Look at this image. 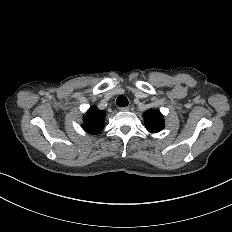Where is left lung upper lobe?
I'll use <instances>...</instances> for the list:
<instances>
[{
  "mask_svg": "<svg viewBox=\"0 0 232 232\" xmlns=\"http://www.w3.org/2000/svg\"><path fill=\"white\" fill-rule=\"evenodd\" d=\"M144 119L147 130L152 133H157L164 128V118L159 110L146 111Z\"/></svg>",
  "mask_w": 232,
  "mask_h": 232,
  "instance_id": "5c2ea615",
  "label": "left lung upper lobe"
}]
</instances>
